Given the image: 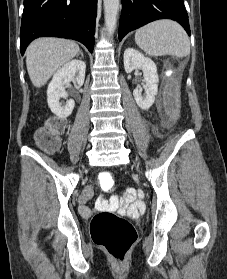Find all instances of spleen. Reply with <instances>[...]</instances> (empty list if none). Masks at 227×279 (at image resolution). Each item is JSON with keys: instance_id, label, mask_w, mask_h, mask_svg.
<instances>
[{"instance_id": "spleen-1", "label": "spleen", "mask_w": 227, "mask_h": 279, "mask_svg": "<svg viewBox=\"0 0 227 279\" xmlns=\"http://www.w3.org/2000/svg\"><path fill=\"white\" fill-rule=\"evenodd\" d=\"M135 42L150 56L174 55L181 58L190 54L186 32L178 23L170 20L155 21L138 29Z\"/></svg>"}]
</instances>
